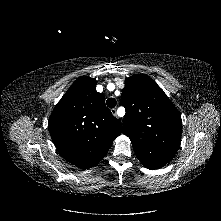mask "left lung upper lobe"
<instances>
[{"label":"left lung upper lobe","instance_id":"obj_1","mask_svg":"<svg viewBox=\"0 0 221 221\" xmlns=\"http://www.w3.org/2000/svg\"><path fill=\"white\" fill-rule=\"evenodd\" d=\"M121 104L125 107L123 132L145 167L160 168L175 155L181 141L179 111L147 75L126 79Z\"/></svg>","mask_w":221,"mask_h":221}]
</instances>
